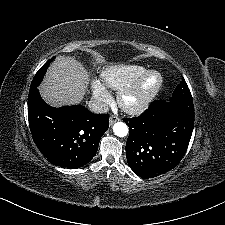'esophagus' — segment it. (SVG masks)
<instances>
[{
    "mask_svg": "<svg viewBox=\"0 0 225 225\" xmlns=\"http://www.w3.org/2000/svg\"><path fill=\"white\" fill-rule=\"evenodd\" d=\"M120 119L116 115H111L109 118V125L112 126L114 123L118 122Z\"/></svg>",
    "mask_w": 225,
    "mask_h": 225,
    "instance_id": "esophagus-1",
    "label": "esophagus"
}]
</instances>
